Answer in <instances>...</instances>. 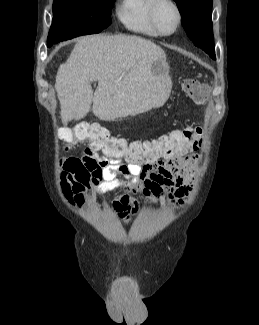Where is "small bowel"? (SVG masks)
<instances>
[{
	"label": "small bowel",
	"instance_id": "small-bowel-1",
	"mask_svg": "<svg viewBox=\"0 0 259 325\" xmlns=\"http://www.w3.org/2000/svg\"><path fill=\"white\" fill-rule=\"evenodd\" d=\"M201 132H197L200 135ZM200 145V142H198ZM197 149H175L140 163L109 156H98L96 150H85L79 162L69 158L60 162L59 179L63 193L82 204L84 192L101 194L119 189L112 209L117 217L129 221L137 211V194L183 204L192 191L185 170L195 159Z\"/></svg>",
	"mask_w": 259,
	"mask_h": 325
}]
</instances>
